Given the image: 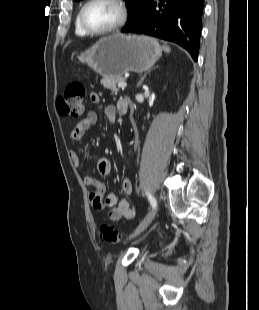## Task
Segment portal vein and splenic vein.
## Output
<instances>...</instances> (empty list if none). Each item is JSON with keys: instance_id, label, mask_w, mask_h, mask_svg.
Listing matches in <instances>:
<instances>
[{"instance_id": "portal-vein-and-splenic-vein-1", "label": "portal vein and splenic vein", "mask_w": 259, "mask_h": 310, "mask_svg": "<svg viewBox=\"0 0 259 310\" xmlns=\"http://www.w3.org/2000/svg\"><path fill=\"white\" fill-rule=\"evenodd\" d=\"M126 86H127V83H126V82H119V83H118V87H119V88H122V89H123V88H125Z\"/></svg>"}]
</instances>
